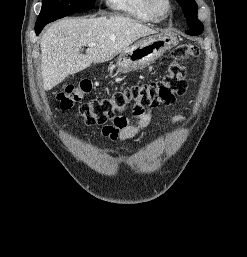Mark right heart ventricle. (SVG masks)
I'll return each mask as SVG.
<instances>
[{"label": "right heart ventricle", "mask_w": 247, "mask_h": 257, "mask_svg": "<svg viewBox=\"0 0 247 257\" xmlns=\"http://www.w3.org/2000/svg\"><path fill=\"white\" fill-rule=\"evenodd\" d=\"M110 9L138 21L155 22L147 9V0H106Z\"/></svg>", "instance_id": "right-heart-ventricle-1"}]
</instances>
